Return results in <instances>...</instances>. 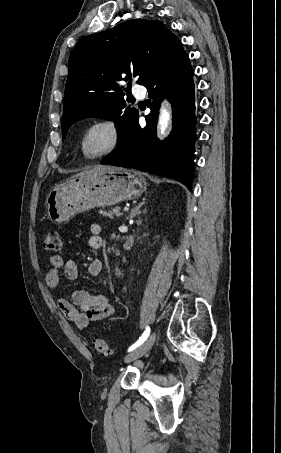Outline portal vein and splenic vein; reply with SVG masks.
Returning a JSON list of instances; mask_svg holds the SVG:
<instances>
[{
  "mask_svg": "<svg viewBox=\"0 0 281 453\" xmlns=\"http://www.w3.org/2000/svg\"><path fill=\"white\" fill-rule=\"evenodd\" d=\"M124 212H130V206L124 207Z\"/></svg>",
  "mask_w": 281,
  "mask_h": 453,
  "instance_id": "1",
  "label": "portal vein and splenic vein"
}]
</instances>
